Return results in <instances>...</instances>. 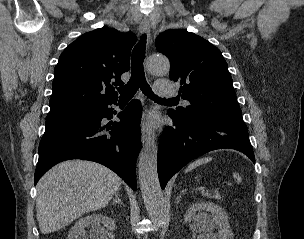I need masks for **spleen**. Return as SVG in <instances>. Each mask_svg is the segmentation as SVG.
Here are the masks:
<instances>
[{
    "label": "spleen",
    "instance_id": "obj_1",
    "mask_svg": "<svg viewBox=\"0 0 304 239\" xmlns=\"http://www.w3.org/2000/svg\"><path fill=\"white\" fill-rule=\"evenodd\" d=\"M212 159L210 157H204V158H200V159H197L195 160L194 162H192L191 164L188 165V167L186 168V172H190L191 170H193L194 168L202 165V164H205V163H208L210 162ZM234 178L235 180L238 182V183H241L242 182V179L241 177L239 176L238 173H235L234 174Z\"/></svg>",
    "mask_w": 304,
    "mask_h": 239
}]
</instances>
